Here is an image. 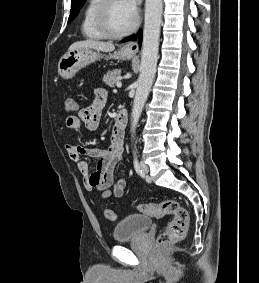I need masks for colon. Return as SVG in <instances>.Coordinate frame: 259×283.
<instances>
[{
  "label": "colon",
  "instance_id": "colon-1",
  "mask_svg": "<svg viewBox=\"0 0 259 283\" xmlns=\"http://www.w3.org/2000/svg\"><path fill=\"white\" fill-rule=\"evenodd\" d=\"M64 103L67 112L73 113L78 110V103L75 98L68 96L65 98ZM137 209L141 213L155 218H161L165 215L172 216V220L157 237V244L159 246L173 244L185 237L189 223V215L187 210L178 201L167 199L158 203H142L137 206ZM104 215L109 221L116 219L114 211L110 209H106Z\"/></svg>",
  "mask_w": 259,
  "mask_h": 283
}]
</instances>
